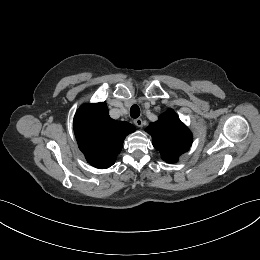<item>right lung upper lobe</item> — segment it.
<instances>
[{"label":"right lung upper lobe","mask_w":260,"mask_h":260,"mask_svg":"<svg viewBox=\"0 0 260 260\" xmlns=\"http://www.w3.org/2000/svg\"><path fill=\"white\" fill-rule=\"evenodd\" d=\"M135 130L128 122L110 118L105 102L82 105L74 117L78 146L87 162L99 169L114 164L125 137Z\"/></svg>","instance_id":"right-lung-upper-lobe-1"}]
</instances>
